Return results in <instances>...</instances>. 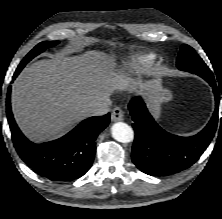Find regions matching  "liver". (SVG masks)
I'll return each instance as SVG.
<instances>
[{
	"label": "liver",
	"mask_w": 222,
	"mask_h": 219,
	"mask_svg": "<svg viewBox=\"0 0 222 219\" xmlns=\"http://www.w3.org/2000/svg\"><path fill=\"white\" fill-rule=\"evenodd\" d=\"M122 80L112 59L99 51L40 60L14 81L12 111L29 139L53 140L89 117V109L109 99ZM129 83L146 95L154 86L150 81Z\"/></svg>",
	"instance_id": "6515ba94"
}]
</instances>
